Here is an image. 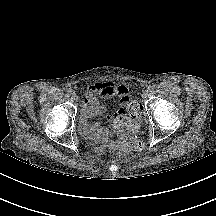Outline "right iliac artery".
I'll return each mask as SVG.
<instances>
[{
  "instance_id": "obj_1",
  "label": "right iliac artery",
  "mask_w": 216,
  "mask_h": 216,
  "mask_svg": "<svg viewBox=\"0 0 216 216\" xmlns=\"http://www.w3.org/2000/svg\"><path fill=\"white\" fill-rule=\"evenodd\" d=\"M72 92H73L72 89H67L68 94H71Z\"/></svg>"
}]
</instances>
